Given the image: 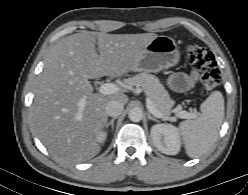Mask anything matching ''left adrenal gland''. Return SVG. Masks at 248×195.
<instances>
[{"label":"left adrenal gland","instance_id":"left-adrenal-gland-1","mask_svg":"<svg viewBox=\"0 0 248 195\" xmlns=\"http://www.w3.org/2000/svg\"><path fill=\"white\" fill-rule=\"evenodd\" d=\"M148 119L153 120L155 122H159L155 117H153L150 113H148Z\"/></svg>","mask_w":248,"mask_h":195}]
</instances>
